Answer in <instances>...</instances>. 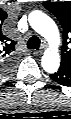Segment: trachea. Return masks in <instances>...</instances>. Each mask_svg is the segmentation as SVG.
I'll use <instances>...</instances> for the list:
<instances>
[{"mask_svg":"<svg viewBox=\"0 0 71 119\" xmlns=\"http://www.w3.org/2000/svg\"><path fill=\"white\" fill-rule=\"evenodd\" d=\"M28 49L38 50L40 47V39L37 36H32L27 43Z\"/></svg>","mask_w":71,"mask_h":119,"instance_id":"trachea-1","label":"trachea"}]
</instances>
